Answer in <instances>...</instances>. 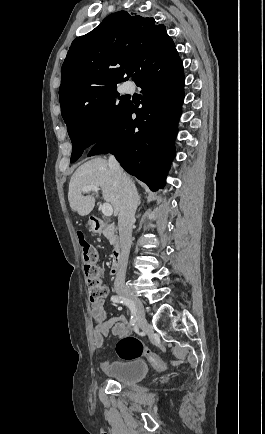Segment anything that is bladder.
<instances>
[{
    "mask_svg": "<svg viewBox=\"0 0 265 434\" xmlns=\"http://www.w3.org/2000/svg\"><path fill=\"white\" fill-rule=\"evenodd\" d=\"M149 372L148 365L138 359L114 362L108 368V375L118 382L134 385L140 382Z\"/></svg>",
    "mask_w": 265,
    "mask_h": 434,
    "instance_id": "bladder-1",
    "label": "bladder"
}]
</instances>
